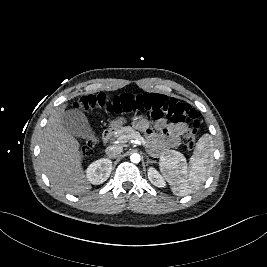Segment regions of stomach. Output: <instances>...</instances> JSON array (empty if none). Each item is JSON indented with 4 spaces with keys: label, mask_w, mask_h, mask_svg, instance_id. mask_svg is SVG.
<instances>
[{
    "label": "stomach",
    "mask_w": 267,
    "mask_h": 267,
    "mask_svg": "<svg viewBox=\"0 0 267 267\" xmlns=\"http://www.w3.org/2000/svg\"><path fill=\"white\" fill-rule=\"evenodd\" d=\"M127 122V119L125 117H118L110 122V125L113 128H120L123 124Z\"/></svg>",
    "instance_id": "stomach-1"
}]
</instances>
